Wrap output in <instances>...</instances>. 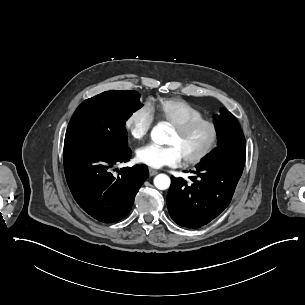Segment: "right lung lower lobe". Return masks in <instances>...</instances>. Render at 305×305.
I'll return each mask as SVG.
<instances>
[{"instance_id":"right-lung-lower-lobe-1","label":"right lung lower lobe","mask_w":305,"mask_h":305,"mask_svg":"<svg viewBox=\"0 0 305 305\" xmlns=\"http://www.w3.org/2000/svg\"><path fill=\"white\" fill-rule=\"evenodd\" d=\"M131 155L128 147L113 152L64 150V171L70 191L79 206L100 222H116L128 215L138 190L149 176L144 165L122 168L118 176H113L110 172L113 165L128 161Z\"/></svg>"}]
</instances>
